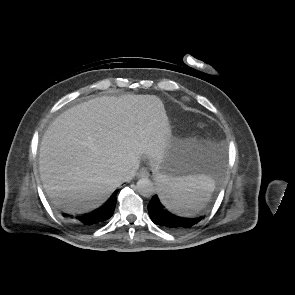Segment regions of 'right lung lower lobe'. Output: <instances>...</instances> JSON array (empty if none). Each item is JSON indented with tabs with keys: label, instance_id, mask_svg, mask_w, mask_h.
<instances>
[{
	"label": "right lung lower lobe",
	"instance_id": "1",
	"mask_svg": "<svg viewBox=\"0 0 295 295\" xmlns=\"http://www.w3.org/2000/svg\"><path fill=\"white\" fill-rule=\"evenodd\" d=\"M116 194L117 191L110 197V199L100 208L93 211L92 213L85 214L79 217V220L86 227H94L103 224L108 220L114 212L116 205Z\"/></svg>",
	"mask_w": 295,
	"mask_h": 295
}]
</instances>
